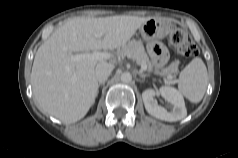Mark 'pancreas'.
I'll return each instance as SVG.
<instances>
[{
	"instance_id": "cf45deb5",
	"label": "pancreas",
	"mask_w": 238,
	"mask_h": 158,
	"mask_svg": "<svg viewBox=\"0 0 238 158\" xmlns=\"http://www.w3.org/2000/svg\"><path fill=\"white\" fill-rule=\"evenodd\" d=\"M117 53L122 57H129L139 65H146L148 73L154 72L164 77V82L168 85L173 84L172 73L175 72V63L164 69L162 72L154 71L149 57L141 41L132 40L118 49Z\"/></svg>"
}]
</instances>
